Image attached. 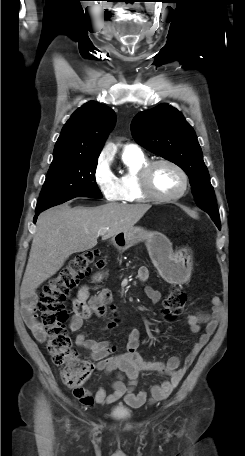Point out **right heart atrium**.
Here are the masks:
<instances>
[{
	"label": "right heart atrium",
	"instance_id": "1",
	"mask_svg": "<svg viewBox=\"0 0 245 456\" xmlns=\"http://www.w3.org/2000/svg\"><path fill=\"white\" fill-rule=\"evenodd\" d=\"M93 180L106 200H120V187L117 177L112 173L109 165L103 158H99L94 167Z\"/></svg>",
	"mask_w": 245,
	"mask_h": 456
}]
</instances>
